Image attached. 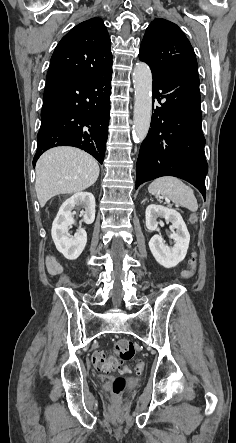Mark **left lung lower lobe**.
Masks as SVG:
<instances>
[{
    "label": "left lung lower lobe",
    "instance_id": "left-lung-lower-lobe-1",
    "mask_svg": "<svg viewBox=\"0 0 236 443\" xmlns=\"http://www.w3.org/2000/svg\"><path fill=\"white\" fill-rule=\"evenodd\" d=\"M152 76L154 111L139 152L136 188L161 176H175L194 185L205 199L208 165L198 73L168 70Z\"/></svg>",
    "mask_w": 236,
    "mask_h": 443
}]
</instances>
